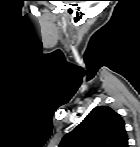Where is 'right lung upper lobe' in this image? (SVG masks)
Masks as SVG:
<instances>
[{"label": "right lung upper lobe", "mask_w": 140, "mask_h": 147, "mask_svg": "<svg viewBox=\"0 0 140 147\" xmlns=\"http://www.w3.org/2000/svg\"><path fill=\"white\" fill-rule=\"evenodd\" d=\"M59 147H128L124 120L110 107L97 106Z\"/></svg>", "instance_id": "obj_1"}]
</instances>
